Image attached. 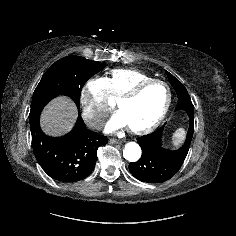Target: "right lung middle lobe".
<instances>
[{"label": "right lung middle lobe", "mask_w": 236, "mask_h": 236, "mask_svg": "<svg viewBox=\"0 0 236 236\" xmlns=\"http://www.w3.org/2000/svg\"><path fill=\"white\" fill-rule=\"evenodd\" d=\"M105 65L80 56H67L56 61L43 75L36 87L30 113L43 107L59 95L70 97L80 109V94L85 82Z\"/></svg>", "instance_id": "1"}]
</instances>
